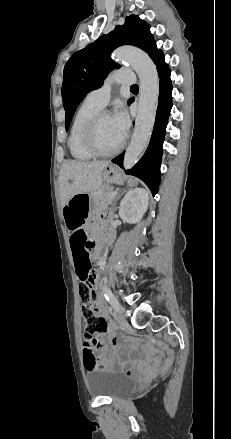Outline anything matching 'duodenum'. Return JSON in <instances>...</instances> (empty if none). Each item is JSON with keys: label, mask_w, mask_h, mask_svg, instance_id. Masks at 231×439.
I'll return each mask as SVG.
<instances>
[{"label": "duodenum", "mask_w": 231, "mask_h": 439, "mask_svg": "<svg viewBox=\"0 0 231 439\" xmlns=\"http://www.w3.org/2000/svg\"><path fill=\"white\" fill-rule=\"evenodd\" d=\"M108 239H109V238L104 234L103 240H108ZM94 246H96V249H97V250L99 249V243H98V241H97V243L94 242L93 247H94Z\"/></svg>", "instance_id": "1"}]
</instances>
